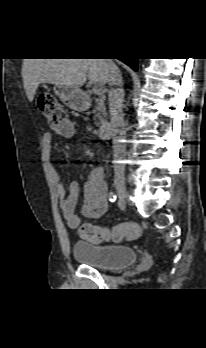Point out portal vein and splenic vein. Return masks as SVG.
Returning <instances> with one entry per match:
<instances>
[{
	"label": "portal vein and splenic vein",
	"instance_id": "18ae733b",
	"mask_svg": "<svg viewBox=\"0 0 206 348\" xmlns=\"http://www.w3.org/2000/svg\"><path fill=\"white\" fill-rule=\"evenodd\" d=\"M92 90L97 95H102L104 93V88L101 85H94Z\"/></svg>",
	"mask_w": 206,
	"mask_h": 348
}]
</instances>
